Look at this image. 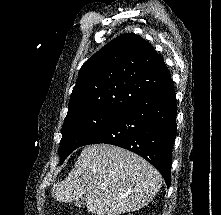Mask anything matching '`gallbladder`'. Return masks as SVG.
Segmentation results:
<instances>
[{
  "mask_svg": "<svg viewBox=\"0 0 221 215\" xmlns=\"http://www.w3.org/2000/svg\"><path fill=\"white\" fill-rule=\"evenodd\" d=\"M85 204V198L82 197L81 199H79L77 202H75V205L80 208Z\"/></svg>",
  "mask_w": 221,
  "mask_h": 215,
  "instance_id": "bac80fb5",
  "label": "gallbladder"
}]
</instances>
